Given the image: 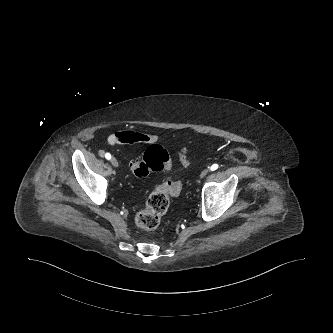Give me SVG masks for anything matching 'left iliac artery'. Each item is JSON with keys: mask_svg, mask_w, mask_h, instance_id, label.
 <instances>
[{"mask_svg": "<svg viewBox=\"0 0 333 333\" xmlns=\"http://www.w3.org/2000/svg\"><path fill=\"white\" fill-rule=\"evenodd\" d=\"M216 169H218V164H213V165L210 167V170H211V171H214V170H216Z\"/></svg>", "mask_w": 333, "mask_h": 333, "instance_id": "44dca946", "label": "left iliac artery"}]
</instances>
